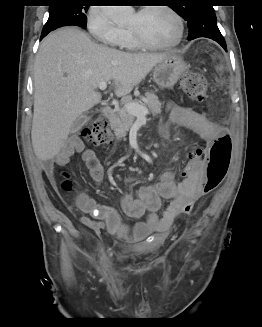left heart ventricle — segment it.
<instances>
[{
    "label": "left heart ventricle",
    "mask_w": 262,
    "mask_h": 327,
    "mask_svg": "<svg viewBox=\"0 0 262 327\" xmlns=\"http://www.w3.org/2000/svg\"><path fill=\"white\" fill-rule=\"evenodd\" d=\"M127 27L137 30L146 39L158 44L173 41L178 32L174 18L161 9L133 12Z\"/></svg>",
    "instance_id": "left-heart-ventricle-1"
}]
</instances>
